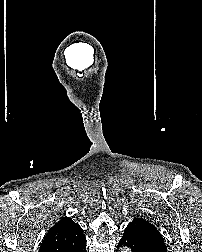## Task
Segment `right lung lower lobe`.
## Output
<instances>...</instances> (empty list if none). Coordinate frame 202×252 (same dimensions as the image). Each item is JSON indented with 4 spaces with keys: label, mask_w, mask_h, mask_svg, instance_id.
I'll return each instance as SVG.
<instances>
[{
    "label": "right lung lower lobe",
    "mask_w": 202,
    "mask_h": 252,
    "mask_svg": "<svg viewBox=\"0 0 202 252\" xmlns=\"http://www.w3.org/2000/svg\"><path fill=\"white\" fill-rule=\"evenodd\" d=\"M81 252H86V242H85V245H84L83 249L81 250Z\"/></svg>",
    "instance_id": "obj_1"
}]
</instances>
